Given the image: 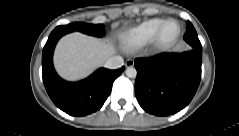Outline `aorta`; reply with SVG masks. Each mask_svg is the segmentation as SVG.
<instances>
[{
    "mask_svg": "<svg viewBox=\"0 0 239 136\" xmlns=\"http://www.w3.org/2000/svg\"><path fill=\"white\" fill-rule=\"evenodd\" d=\"M127 77L129 78H135L137 76V71L134 67H127L126 71H125Z\"/></svg>",
    "mask_w": 239,
    "mask_h": 136,
    "instance_id": "762f6f07",
    "label": "aorta"
}]
</instances>
